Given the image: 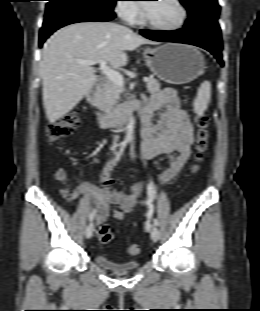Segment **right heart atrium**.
Returning <instances> with one entry per match:
<instances>
[{"label":"right heart atrium","mask_w":260,"mask_h":311,"mask_svg":"<svg viewBox=\"0 0 260 311\" xmlns=\"http://www.w3.org/2000/svg\"><path fill=\"white\" fill-rule=\"evenodd\" d=\"M116 12L127 22H136L141 16V8L132 1L120 0Z\"/></svg>","instance_id":"right-heart-atrium-1"}]
</instances>
